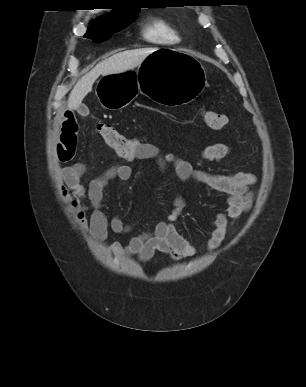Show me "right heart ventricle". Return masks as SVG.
Here are the masks:
<instances>
[{"label":"right heart ventricle","mask_w":306,"mask_h":387,"mask_svg":"<svg viewBox=\"0 0 306 387\" xmlns=\"http://www.w3.org/2000/svg\"><path fill=\"white\" fill-rule=\"evenodd\" d=\"M142 35L148 42L159 45H173L180 41L176 27L163 17H152L142 27Z\"/></svg>","instance_id":"1"}]
</instances>
